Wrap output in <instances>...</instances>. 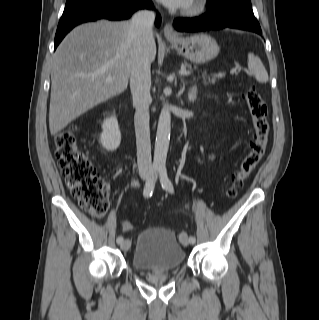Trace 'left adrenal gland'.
<instances>
[{
    "instance_id": "1",
    "label": "left adrenal gland",
    "mask_w": 319,
    "mask_h": 320,
    "mask_svg": "<svg viewBox=\"0 0 319 320\" xmlns=\"http://www.w3.org/2000/svg\"><path fill=\"white\" fill-rule=\"evenodd\" d=\"M185 86L181 88V91H184ZM188 99L189 101H194L196 99V86L194 85L192 88H190L189 93H188Z\"/></svg>"
}]
</instances>
